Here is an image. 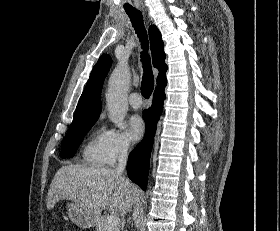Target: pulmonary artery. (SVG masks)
<instances>
[{"label":"pulmonary artery","instance_id":"obj_1","mask_svg":"<svg viewBox=\"0 0 280 231\" xmlns=\"http://www.w3.org/2000/svg\"><path fill=\"white\" fill-rule=\"evenodd\" d=\"M128 102L131 107L137 109L142 105V101L140 99V95L138 93H132L129 95Z\"/></svg>","mask_w":280,"mask_h":231}]
</instances>
